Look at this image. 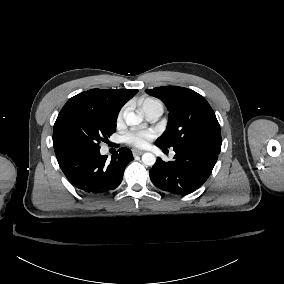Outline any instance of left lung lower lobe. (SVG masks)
I'll return each instance as SVG.
<instances>
[{
	"label": "left lung lower lobe",
	"instance_id": "0a47b994",
	"mask_svg": "<svg viewBox=\"0 0 284 284\" xmlns=\"http://www.w3.org/2000/svg\"><path fill=\"white\" fill-rule=\"evenodd\" d=\"M160 148L166 146L157 143ZM174 160L164 162L157 158L149 170L152 183L173 194H189L200 187L210 176L218 155L206 149L174 146Z\"/></svg>",
	"mask_w": 284,
	"mask_h": 284
}]
</instances>
